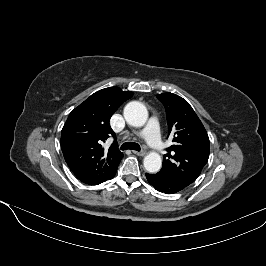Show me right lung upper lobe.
<instances>
[{
	"instance_id": "obj_1",
	"label": "right lung upper lobe",
	"mask_w": 266,
	"mask_h": 266,
	"mask_svg": "<svg viewBox=\"0 0 266 266\" xmlns=\"http://www.w3.org/2000/svg\"><path fill=\"white\" fill-rule=\"evenodd\" d=\"M132 95L118 87L105 88L69 114L61 132V148L69 168L83 183L96 185L117 170L123 153L115 141L108 150L102 144L115 136L111 116Z\"/></svg>"
}]
</instances>
